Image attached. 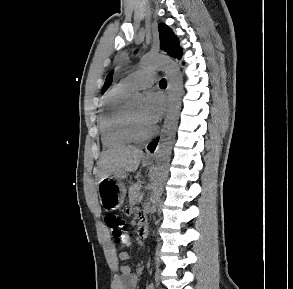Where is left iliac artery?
Listing matches in <instances>:
<instances>
[{
    "mask_svg": "<svg viewBox=\"0 0 293 289\" xmlns=\"http://www.w3.org/2000/svg\"><path fill=\"white\" fill-rule=\"evenodd\" d=\"M146 289H154V284L151 282Z\"/></svg>",
    "mask_w": 293,
    "mask_h": 289,
    "instance_id": "left-iliac-artery-1",
    "label": "left iliac artery"
}]
</instances>
